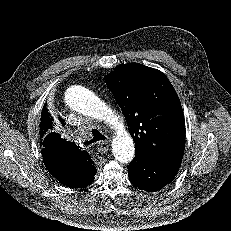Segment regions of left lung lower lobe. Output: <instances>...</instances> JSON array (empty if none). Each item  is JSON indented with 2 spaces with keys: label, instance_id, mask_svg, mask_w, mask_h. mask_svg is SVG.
Wrapping results in <instances>:
<instances>
[{
  "label": "left lung lower lobe",
  "instance_id": "0a47b994",
  "mask_svg": "<svg viewBox=\"0 0 231 231\" xmlns=\"http://www.w3.org/2000/svg\"><path fill=\"white\" fill-rule=\"evenodd\" d=\"M180 165L181 162H164L139 154L127 168L129 179L135 186L156 192L174 179Z\"/></svg>",
  "mask_w": 231,
  "mask_h": 231
}]
</instances>
